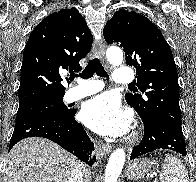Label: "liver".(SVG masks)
<instances>
[{"mask_svg": "<svg viewBox=\"0 0 196 182\" xmlns=\"http://www.w3.org/2000/svg\"><path fill=\"white\" fill-rule=\"evenodd\" d=\"M78 163L75 156L48 139L26 138L11 149L4 182H69Z\"/></svg>", "mask_w": 196, "mask_h": 182, "instance_id": "liver-1", "label": "liver"}]
</instances>
